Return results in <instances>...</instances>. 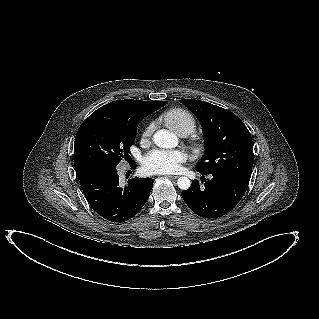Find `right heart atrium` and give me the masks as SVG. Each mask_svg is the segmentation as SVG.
<instances>
[{
    "instance_id": "right-heart-atrium-1",
    "label": "right heart atrium",
    "mask_w": 319,
    "mask_h": 319,
    "mask_svg": "<svg viewBox=\"0 0 319 319\" xmlns=\"http://www.w3.org/2000/svg\"><path fill=\"white\" fill-rule=\"evenodd\" d=\"M151 133H152V124H149L145 127V129L142 132V135H141L142 139L143 140L147 139L151 135Z\"/></svg>"
}]
</instances>
